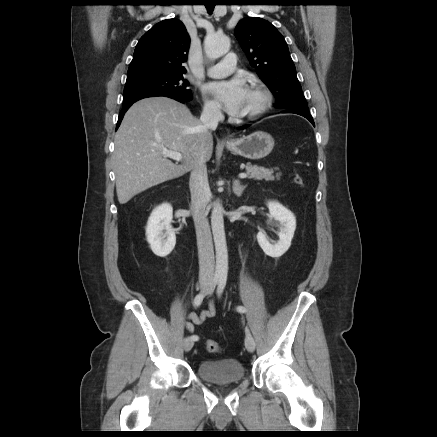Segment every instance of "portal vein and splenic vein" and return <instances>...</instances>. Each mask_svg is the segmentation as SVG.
I'll list each match as a JSON object with an SVG mask.
<instances>
[{
    "label": "portal vein and splenic vein",
    "mask_w": 437,
    "mask_h": 437,
    "mask_svg": "<svg viewBox=\"0 0 437 437\" xmlns=\"http://www.w3.org/2000/svg\"><path fill=\"white\" fill-rule=\"evenodd\" d=\"M161 150H162V153L168 158H171V159L176 160L178 162L182 160V154L180 152L168 150L166 148H162ZM247 176H248L247 173H240L239 174V178H246Z\"/></svg>",
    "instance_id": "18ae733b"
}]
</instances>
